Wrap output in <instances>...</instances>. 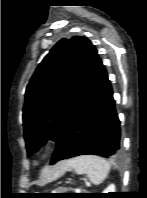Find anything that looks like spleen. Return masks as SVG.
<instances>
[{"label": "spleen", "instance_id": "spleen-1", "mask_svg": "<svg viewBox=\"0 0 147 198\" xmlns=\"http://www.w3.org/2000/svg\"><path fill=\"white\" fill-rule=\"evenodd\" d=\"M71 169L78 175H87L90 181L101 184L108 176L111 165L102 157L95 155H82L70 160Z\"/></svg>", "mask_w": 147, "mask_h": 198}]
</instances>
